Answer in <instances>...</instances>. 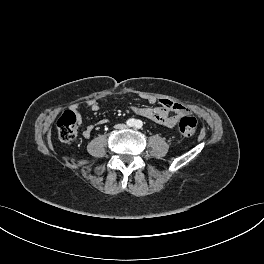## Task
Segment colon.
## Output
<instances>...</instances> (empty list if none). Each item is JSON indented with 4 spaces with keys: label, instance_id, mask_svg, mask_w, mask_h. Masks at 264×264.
<instances>
[{
    "label": "colon",
    "instance_id": "1",
    "mask_svg": "<svg viewBox=\"0 0 264 264\" xmlns=\"http://www.w3.org/2000/svg\"><path fill=\"white\" fill-rule=\"evenodd\" d=\"M57 131L62 142H71L77 135V115L73 111H65L57 120ZM197 122L192 116H184L179 121V131L185 137H191L196 131Z\"/></svg>",
    "mask_w": 264,
    "mask_h": 264
}]
</instances>
